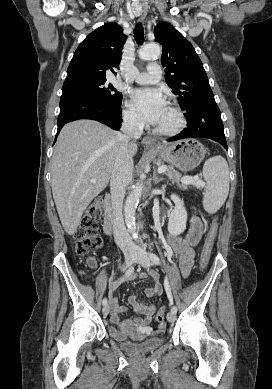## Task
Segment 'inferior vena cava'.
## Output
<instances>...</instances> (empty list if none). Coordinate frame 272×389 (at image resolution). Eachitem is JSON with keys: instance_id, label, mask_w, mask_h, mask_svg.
Listing matches in <instances>:
<instances>
[{"instance_id": "602c4592", "label": "inferior vena cava", "mask_w": 272, "mask_h": 389, "mask_svg": "<svg viewBox=\"0 0 272 389\" xmlns=\"http://www.w3.org/2000/svg\"><path fill=\"white\" fill-rule=\"evenodd\" d=\"M119 135L120 146L114 168L111 173L110 191L112 201L113 234L115 241L123 253H133L135 246L126 230L122 207L125 190L132 180L133 159L129 153L128 145L132 139H138L142 135V122L133 115L123 118Z\"/></svg>"}]
</instances>
